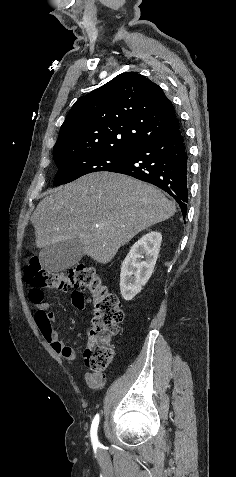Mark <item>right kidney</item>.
<instances>
[{
  "instance_id": "right-kidney-1",
  "label": "right kidney",
  "mask_w": 236,
  "mask_h": 477,
  "mask_svg": "<svg viewBox=\"0 0 236 477\" xmlns=\"http://www.w3.org/2000/svg\"><path fill=\"white\" fill-rule=\"evenodd\" d=\"M161 241V233L152 231L131 247L120 273V291L126 301L132 300L151 277Z\"/></svg>"
}]
</instances>
